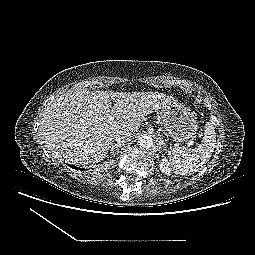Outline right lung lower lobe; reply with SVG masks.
I'll use <instances>...</instances> for the list:
<instances>
[{
  "label": "right lung lower lobe",
  "mask_w": 255,
  "mask_h": 255,
  "mask_svg": "<svg viewBox=\"0 0 255 255\" xmlns=\"http://www.w3.org/2000/svg\"><path fill=\"white\" fill-rule=\"evenodd\" d=\"M69 166L72 167V168H74V169H79V170H80V168H77V167H75V166H74V167H73L72 165H69Z\"/></svg>",
  "instance_id": "right-lung-lower-lobe-1"
}]
</instances>
